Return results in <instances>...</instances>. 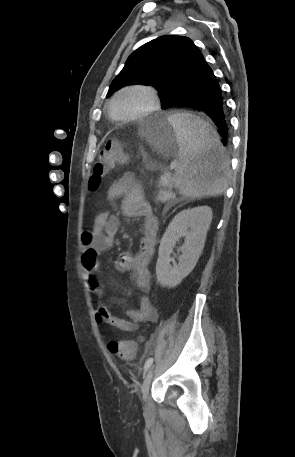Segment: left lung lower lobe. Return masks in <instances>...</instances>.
<instances>
[{"label": "left lung lower lobe", "instance_id": "obj_1", "mask_svg": "<svg viewBox=\"0 0 295 457\" xmlns=\"http://www.w3.org/2000/svg\"><path fill=\"white\" fill-rule=\"evenodd\" d=\"M186 88L174 96L164 109L188 107L209 116L216 126L224 146L229 145V122L225 112L221 88L211 67L200 53L188 73Z\"/></svg>", "mask_w": 295, "mask_h": 457}]
</instances>
